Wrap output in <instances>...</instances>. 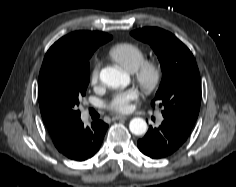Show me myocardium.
<instances>
[{"label":"myocardium","mask_w":236,"mask_h":187,"mask_svg":"<svg viewBox=\"0 0 236 187\" xmlns=\"http://www.w3.org/2000/svg\"><path fill=\"white\" fill-rule=\"evenodd\" d=\"M134 80L146 94L155 92L163 80L162 66L155 60H145L133 72Z\"/></svg>","instance_id":"obj_1"}]
</instances>
